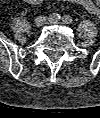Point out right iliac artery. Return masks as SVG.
Listing matches in <instances>:
<instances>
[{"label":"right iliac artery","instance_id":"right-iliac-artery-1","mask_svg":"<svg viewBox=\"0 0 100 118\" xmlns=\"http://www.w3.org/2000/svg\"><path fill=\"white\" fill-rule=\"evenodd\" d=\"M50 18H51L52 20L59 21V20L61 19V16H60V14H58V13H52V14L50 15Z\"/></svg>","mask_w":100,"mask_h":118}]
</instances>
